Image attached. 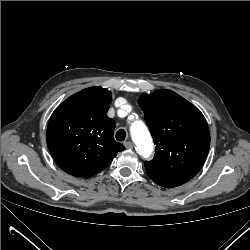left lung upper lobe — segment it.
<instances>
[{"mask_svg": "<svg viewBox=\"0 0 250 250\" xmlns=\"http://www.w3.org/2000/svg\"><path fill=\"white\" fill-rule=\"evenodd\" d=\"M139 105L156 145L155 157L145 162L148 175L193 178L204 164L210 146L203 114L170 90L142 94Z\"/></svg>", "mask_w": 250, "mask_h": 250, "instance_id": "5c2ea615", "label": "left lung upper lobe"}]
</instances>
